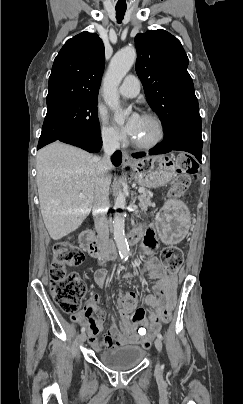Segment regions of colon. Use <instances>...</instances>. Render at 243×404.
I'll list each match as a JSON object with an SVG mask.
<instances>
[{
    "instance_id": "1",
    "label": "colon",
    "mask_w": 243,
    "mask_h": 404,
    "mask_svg": "<svg viewBox=\"0 0 243 404\" xmlns=\"http://www.w3.org/2000/svg\"><path fill=\"white\" fill-rule=\"evenodd\" d=\"M177 176L173 181L169 196L178 198L190 187L192 177L198 172V166L188 154H180L176 161ZM160 259L169 273H175L183 263L182 251L173 246L165 247L160 253ZM85 256L76 246L58 243L54 246L53 261L50 267V292L57 305L66 313L78 311L81 299L85 294V286L80 277L69 272L68 268L83 264ZM121 314L130 316L137 309V295L128 292L119 299ZM170 315L164 316L168 322ZM144 347H149L148 340L143 341Z\"/></svg>"
}]
</instances>
